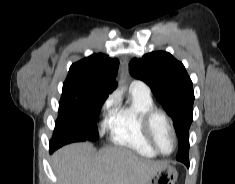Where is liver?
Returning <instances> with one entry per match:
<instances>
[{
	"label": "liver",
	"instance_id": "liver-1",
	"mask_svg": "<svg viewBox=\"0 0 235 184\" xmlns=\"http://www.w3.org/2000/svg\"><path fill=\"white\" fill-rule=\"evenodd\" d=\"M165 162L140 158L127 148H102L90 142L70 144L52 156L58 184H148Z\"/></svg>",
	"mask_w": 235,
	"mask_h": 184
}]
</instances>
